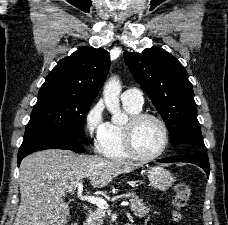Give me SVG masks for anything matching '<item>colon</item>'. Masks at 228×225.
Masks as SVG:
<instances>
[{"instance_id":"colon-1","label":"colon","mask_w":228,"mask_h":225,"mask_svg":"<svg viewBox=\"0 0 228 225\" xmlns=\"http://www.w3.org/2000/svg\"><path fill=\"white\" fill-rule=\"evenodd\" d=\"M173 193V209L171 215L173 222L179 224L183 221V212L191 193V186L186 181H179L174 185Z\"/></svg>"}]
</instances>
